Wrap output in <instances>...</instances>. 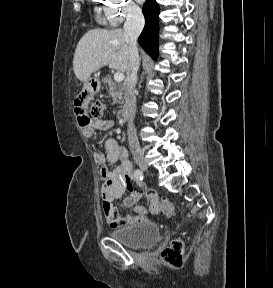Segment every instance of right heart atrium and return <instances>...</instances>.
<instances>
[{"mask_svg": "<svg viewBox=\"0 0 273 288\" xmlns=\"http://www.w3.org/2000/svg\"><path fill=\"white\" fill-rule=\"evenodd\" d=\"M105 18L109 25L117 26L126 18L139 14L140 9L133 0H101Z\"/></svg>", "mask_w": 273, "mask_h": 288, "instance_id": "obj_1", "label": "right heart atrium"}]
</instances>
